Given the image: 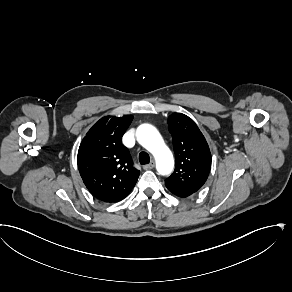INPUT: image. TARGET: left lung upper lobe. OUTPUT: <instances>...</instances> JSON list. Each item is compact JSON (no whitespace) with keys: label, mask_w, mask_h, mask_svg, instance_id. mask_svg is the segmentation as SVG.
<instances>
[{"label":"left lung upper lobe","mask_w":292,"mask_h":292,"mask_svg":"<svg viewBox=\"0 0 292 292\" xmlns=\"http://www.w3.org/2000/svg\"><path fill=\"white\" fill-rule=\"evenodd\" d=\"M176 156L174 172L165 180L170 190L196 193L206 182L211 169L207 141L195 122L182 113L168 117Z\"/></svg>","instance_id":"5c2ea615"}]
</instances>
